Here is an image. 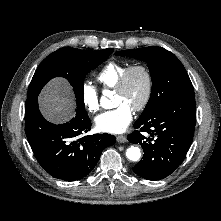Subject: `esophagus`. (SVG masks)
<instances>
[{
    "instance_id": "esophagus-1",
    "label": "esophagus",
    "mask_w": 221,
    "mask_h": 221,
    "mask_svg": "<svg viewBox=\"0 0 221 221\" xmlns=\"http://www.w3.org/2000/svg\"><path fill=\"white\" fill-rule=\"evenodd\" d=\"M116 139H117V142H119V143H125V142H127V137H126L125 135H118V136L116 137Z\"/></svg>"
}]
</instances>
